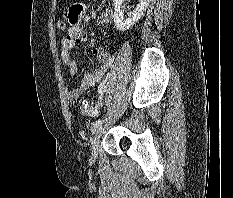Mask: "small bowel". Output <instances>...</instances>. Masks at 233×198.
<instances>
[{"instance_id": "1", "label": "small bowel", "mask_w": 233, "mask_h": 198, "mask_svg": "<svg viewBox=\"0 0 233 198\" xmlns=\"http://www.w3.org/2000/svg\"><path fill=\"white\" fill-rule=\"evenodd\" d=\"M85 13L86 8L80 3L73 4L69 8L68 21L70 26L67 29V34L61 40V61L72 77L78 73V66L73 58L72 50L77 44L87 40V33L81 26ZM112 19V10L104 9L97 17V22L102 26H107L111 24ZM93 55L100 66L93 71L86 72L79 85L68 92L67 97L70 102H76L88 88L99 83L112 63L113 58L110 51L103 46L95 48Z\"/></svg>"}]
</instances>
